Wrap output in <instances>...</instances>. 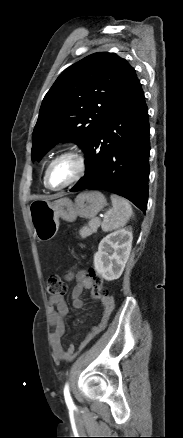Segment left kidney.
Listing matches in <instances>:
<instances>
[{
	"instance_id": "obj_1",
	"label": "left kidney",
	"mask_w": 183,
	"mask_h": 438,
	"mask_svg": "<svg viewBox=\"0 0 183 438\" xmlns=\"http://www.w3.org/2000/svg\"><path fill=\"white\" fill-rule=\"evenodd\" d=\"M133 235L120 229L104 237L94 255L96 271L107 281L118 279L125 268L132 247Z\"/></svg>"
}]
</instances>
